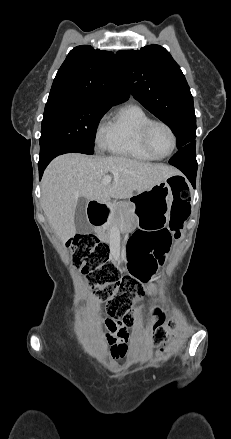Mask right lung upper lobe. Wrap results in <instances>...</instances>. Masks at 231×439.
Masks as SVG:
<instances>
[{"label":"right lung upper lobe","instance_id":"1","mask_svg":"<svg viewBox=\"0 0 231 439\" xmlns=\"http://www.w3.org/2000/svg\"><path fill=\"white\" fill-rule=\"evenodd\" d=\"M128 98L114 53L81 45L59 68L46 105L90 102L111 107Z\"/></svg>","mask_w":231,"mask_h":439}]
</instances>
